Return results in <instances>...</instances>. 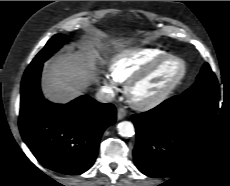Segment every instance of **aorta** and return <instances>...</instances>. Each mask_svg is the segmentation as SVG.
Returning <instances> with one entry per match:
<instances>
[{
	"label": "aorta",
	"instance_id": "aorta-1",
	"mask_svg": "<svg viewBox=\"0 0 230 186\" xmlns=\"http://www.w3.org/2000/svg\"><path fill=\"white\" fill-rule=\"evenodd\" d=\"M117 130L122 137H132L135 134L134 125L129 121H122L118 124Z\"/></svg>",
	"mask_w": 230,
	"mask_h": 186
}]
</instances>
